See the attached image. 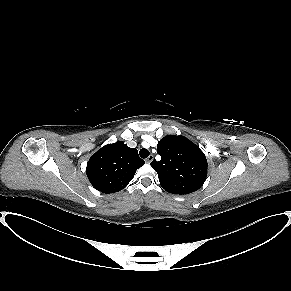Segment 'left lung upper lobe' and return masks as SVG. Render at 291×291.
<instances>
[{
    "label": "left lung upper lobe",
    "mask_w": 291,
    "mask_h": 291,
    "mask_svg": "<svg viewBox=\"0 0 291 291\" xmlns=\"http://www.w3.org/2000/svg\"><path fill=\"white\" fill-rule=\"evenodd\" d=\"M160 161L150 165L161 186L172 194H189L201 188L207 176V159L201 149L184 136L168 135L157 145Z\"/></svg>",
    "instance_id": "1"
}]
</instances>
